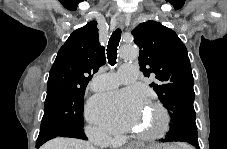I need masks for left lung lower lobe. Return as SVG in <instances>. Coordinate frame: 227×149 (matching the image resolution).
I'll use <instances>...</instances> for the list:
<instances>
[{"instance_id": "obj_1", "label": "left lung lower lobe", "mask_w": 227, "mask_h": 149, "mask_svg": "<svg viewBox=\"0 0 227 149\" xmlns=\"http://www.w3.org/2000/svg\"><path fill=\"white\" fill-rule=\"evenodd\" d=\"M161 142H187L197 149H199L198 135L196 125H181V126H171L170 131L167 133Z\"/></svg>"}]
</instances>
